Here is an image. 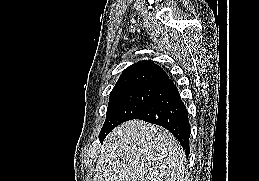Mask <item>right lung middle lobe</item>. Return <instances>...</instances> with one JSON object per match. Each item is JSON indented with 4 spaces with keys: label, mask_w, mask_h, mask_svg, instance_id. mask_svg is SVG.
Segmentation results:
<instances>
[{
    "label": "right lung middle lobe",
    "mask_w": 259,
    "mask_h": 181,
    "mask_svg": "<svg viewBox=\"0 0 259 181\" xmlns=\"http://www.w3.org/2000/svg\"><path fill=\"white\" fill-rule=\"evenodd\" d=\"M159 88L160 85L148 84L113 88L100 137L106 136L119 124L133 119L155 96Z\"/></svg>",
    "instance_id": "right-lung-middle-lobe-1"
}]
</instances>
